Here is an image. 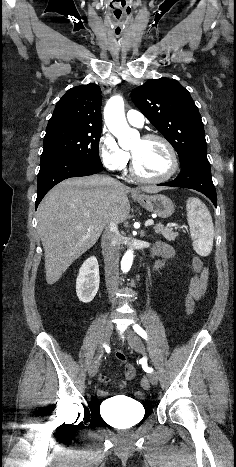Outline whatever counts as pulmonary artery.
Returning a JSON list of instances; mask_svg holds the SVG:
<instances>
[{
    "instance_id": "pulmonary-artery-1",
    "label": "pulmonary artery",
    "mask_w": 236,
    "mask_h": 467,
    "mask_svg": "<svg viewBox=\"0 0 236 467\" xmlns=\"http://www.w3.org/2000/svg\"><path fill=\"white\" fill-rule=\"evenodd\" d=\"M128 122L136 127H142L144 125V116L137 110H129L126 114Z\"/></svg>"
}]
</instances>
